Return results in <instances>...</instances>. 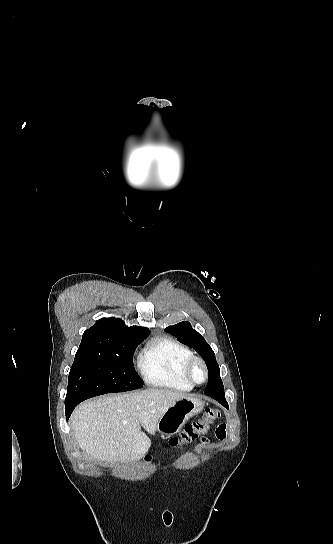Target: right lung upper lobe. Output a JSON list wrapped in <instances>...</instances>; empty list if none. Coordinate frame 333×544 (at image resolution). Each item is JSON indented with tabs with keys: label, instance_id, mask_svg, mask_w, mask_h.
<instances>
[{
	"label": "right lung upper lobe",
	"instance_id": "1",
	"mask_svg": "<svg viewBox=\"0 0 333 544\" xmlns=\"http://www.w3.org/2000/svg\"><path fill=\"white\" fill-rule=\"evenodd\" d=\"M148 335V328L128 327L120 319L103 318L84 332L78 351L104 352L116 340L145 338Z\"/></svg>",
	"mask_w": 333,
	"mask_h": 544
}]
</instances>
